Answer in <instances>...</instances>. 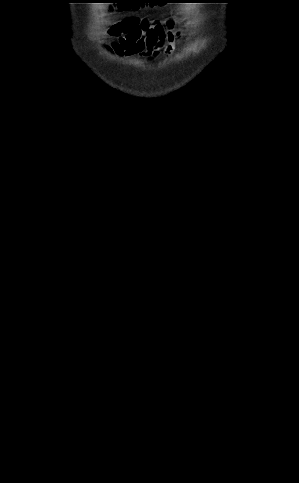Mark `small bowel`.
I'll list each match as a JSON object with an SVG mask.
<instances>
[{
  "label": "small bowel",
  "mask_w": 299,
  "mask_h": 483,
  "mask_svg": "<svg viewBox=\"0 0 299 483\" xmlns=\"http://www.w3.org/2000/svg\"><path fill=\"white\" fill-rule=\"evenodd\" d=\"M180 33L174 27L173 19L164 25L160 21L130 15L108 29V34L114 39L107 45V49L116 55L146 59L156 57L161 50L166 56H172Z\"/></svg>",
  "instance_id": "c3829d8e"
}]
</instances>
